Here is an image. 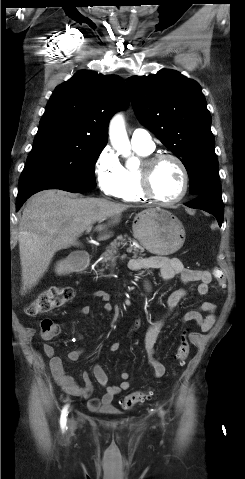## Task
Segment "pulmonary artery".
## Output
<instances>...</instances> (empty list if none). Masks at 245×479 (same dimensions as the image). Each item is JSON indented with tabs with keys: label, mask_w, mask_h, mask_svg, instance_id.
Listing matches in <instances>:
<instances>
[{
	"label": "pulmonary artery",
	"mask_w": 245,
	"mask_h": 479,
	"mask_svg": "<svg viewBox=\"0 0 245 479\" xmlns=\"http://www.w3.org/2000/svg\"><path fill=\"white\" fill-rule=\"evenodd\" d=\"M131 143L133 147L143 148L152 151L155 147L150 133L144 129H135L131 135Z\"/></svg>",
	"instance_id": "e3ab8cb5"
}]
</instances>
